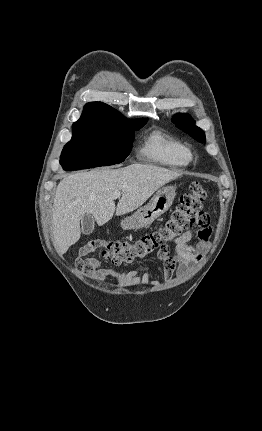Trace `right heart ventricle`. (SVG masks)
<instances>
[{
    "label": "right heart ventricle",
    "mask_w": 262,
    "mask_h": 431,
    "mask_svg": "<svg viewBox=\"0 0 262 431\" xmlns=\"http://www.w3.org/2000/svg\"><path fill=\"white\" fill-rule=\"evenodd\" d=\"M141 153L149 161L169 168H185L191 162L190 149L161 129L152 131L145 138Z\"/></svg>",
    "instance_id": "e07e8e85"
}]
</instances>
